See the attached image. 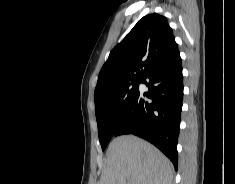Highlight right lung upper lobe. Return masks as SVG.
I'll use <instances>...</instances> for the list:
<instances>
[{
	"label": "right lung upper lobe",
	"mask_w": 235,
	"mask_h": 184,
	"mask_svg": "<svg viewBox=\"0 0 235 184\" xmlns=\"http://www.w3.org/2000/svg\"><path fill=\"white\" fill-rule=\"evenodd\" d=\"M177 51L167 18L156 13L141 18L103 65L94 93L95 107L110 103L111 88L143 80L156 65Z\"/></svg>",
	"instance_id": "cb5924a9"
}]
</instances>
